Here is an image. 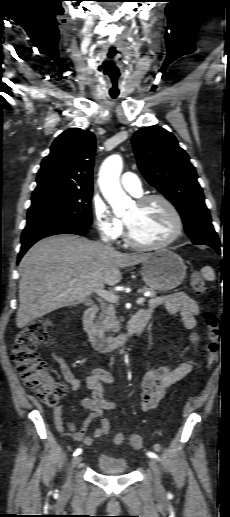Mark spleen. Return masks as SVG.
<instances>
[{"label":"spleen","instance_id":"1","mask_svg":"<svg viewBox=\"0 0 230 517\" xmlns=\"http://www.w3.org/2000/svg\"><path fill=\"white\" fill-rule=\"evenodd\" d=\"M201 273H202V276L208 280V281H213L215 280V273L213 271V269L209 266H205L202 268L201 270Z\"/></svg>","mask_w":230,"mask_h":517}]
</instances>
